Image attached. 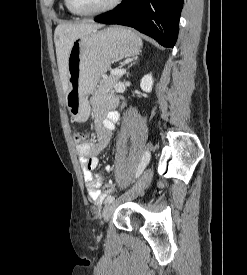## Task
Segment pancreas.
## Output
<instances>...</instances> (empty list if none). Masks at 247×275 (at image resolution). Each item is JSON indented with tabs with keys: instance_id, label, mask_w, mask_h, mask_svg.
<instances>
[{
	"instance_id": "pancreas-1",
	"label": "pancreas",
	"mask_w": 247,
	"mask_h": 275,
	"mask_svg": "<svg viewBox=\"0 0 247 275\" xmlns=\"http://www.w3.org/2000/svg\"><path fill=\"white\" fill-rule=\"evenodd\" d=\"M119 78V76L104 77L99 81L96 93H107L113 91Z\"/></svg>"
}]
</instances>
